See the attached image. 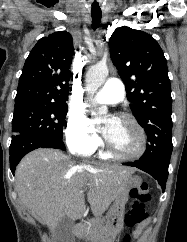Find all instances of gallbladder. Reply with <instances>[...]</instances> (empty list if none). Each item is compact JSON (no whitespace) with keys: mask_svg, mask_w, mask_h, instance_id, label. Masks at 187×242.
Masks as SVG:
<instances>
[{"mask_svg":"<svg viewBox=\"0 0 187 242\" xmlns=\"http://www.w3.org/2000/svg\"><path fill=\"white\" fill-rule=\"evenodd\" d=\"M73 225L72 219L69 217L63 218L55 229L54 242H74Z\"/></svg>","mask_w":187,"mask_h":242,"instance_id":"gallbladder-1","label":"gallbladder"}]
</instances>
